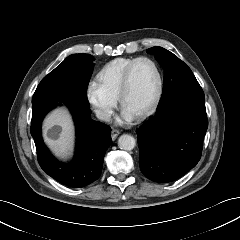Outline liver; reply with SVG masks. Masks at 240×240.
Wrapping results in <instances>:
<instances>
[{
  "instance_id": "liver-1",
  "label": "liver",
  "mask_w": 240,
  "mask_h": 240,
  "mask_svg": "<svg viewBox=\"0 0 240 240\" xmlns=\"http://www.w3.org/2000/svg\"><path fill=\"white\" fill-rule=\"evenodd\" d=\"M54 126L61 127V133L57 139H51L45 136V141L58 156H67L73 145V126L68 113L65 110L58 109L53 111L45 120V135L49 129Z\"/></svg>"
}]
</instances>
